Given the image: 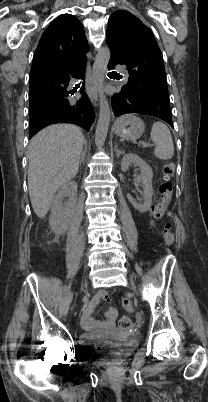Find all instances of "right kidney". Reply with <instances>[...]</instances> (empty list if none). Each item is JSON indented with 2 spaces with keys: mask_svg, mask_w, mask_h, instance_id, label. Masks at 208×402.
I'll use <instances>...</instances> for the list:
<instances>
[{
  "mask_svg": "<svg viewBox=\"0 0 208 402\" xmlns=\"http://www.w3.org/2000/svg\"><path fill=\"white\" fill-rule=\"evenodd\" d=\"M63 198H69L63 202ZM77 204V184L76 182H67L60 188L56 194L52 206L49 224L52 232L56 236H62L68 230L69 222L74 214Z\"/></svg>",
  "mask_w": 208,
  "mask_h": 402,
  "instance_id": "1",
  "label": "right kidney"
}]
</instances>
